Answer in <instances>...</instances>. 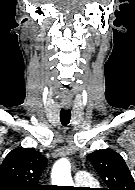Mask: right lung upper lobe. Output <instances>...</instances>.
<instances>
[{"mask_svg":"<svg viewBox=\"0 0 135 190\" xmlns=\"http://www.w3.org/2000/svg\"><path fill=\"white\" fill-rule=\"evenodd\" d=\"M46 164L34 148H15L0 165V190H40L38 181Z\"/></svg>","mask_w":135,"mask_h":190,"instance_id":"right-lung-upper-lobe-1","label":"right lung upper lobe"}]
</instances>
